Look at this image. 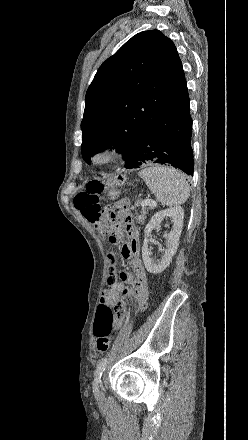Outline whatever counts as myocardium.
Masks as SVG:
<instances>
[{
	"label": "myocardium",
	"mask_w": 248,
	"mask_h": 440,
	"mask_svg": "<svg viewBox=\"0 0 248 440\" xmlns=\"http://www.w3.org/2000/svg\"><path fill=\"white\" fill-rule=\"evenodd\" d=\"M122 157L120 150L111 144L95 148L89 157V164L96 169H105L115 164Z\"/></svg>",
	"instance_id": "f54148a6"
}]
</instances>
